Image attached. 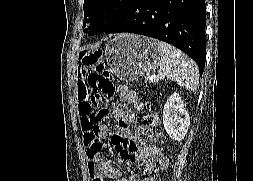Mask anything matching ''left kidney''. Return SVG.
<instances>
[{
    "mask_svg": "<svg viewBox=\"0 0 253 181\" xmlns=\"http://www.w3.org/2000/svg\"><path fill=\"white\" fill-rule=\"evenodd\" d=\"M163 126L171 139L181 141L190 126V116L181 96L174 92L163 109Z\"/></svg>",
    "mask_w": 253,
    "mask_h": 181,
    "instance_id": "1",
    "label": "left kidney"
}]
</instances>
